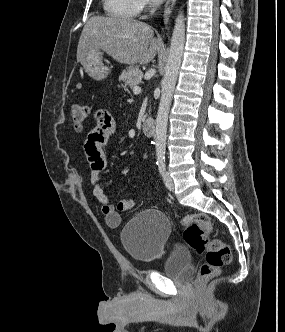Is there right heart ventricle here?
<instances>
[{
	"mask_svg": "<svg viewBox=\"0 0 285 332\" xmlns=\"http://www.w3.org/2000/svg\"><path fill=\"white\" fill-rule=\"evenodd\" d=\"M107 16L120 20H132L140 11L139 0H102Z\"/></svg>",
	"mask_w": 285,
	"mask_h": 332,
	"instance_id": "obj_1",
	"label": "right heart ventricle"
}]
</instances>
